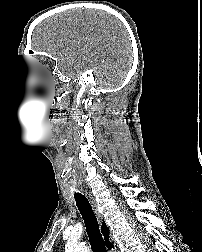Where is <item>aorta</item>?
Here are the masks:
<instances>
[{
  "instance_id": "aorta-1",
  "label": "aorta",
  "mask_w": 202,
  "mask_h": 252,
  "mask_svg": "<svg viewBox=\"0 0 202 252\" xmlns=\"http://www.w3.org/2000/svg\"><path fill=\"white\" fill-rule=\"evenodd\" d=\"M65 252H90V250L84 244L68 243Z\"/></svg>"
}]
</instances>
